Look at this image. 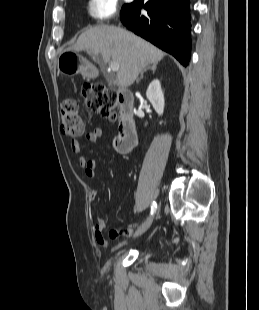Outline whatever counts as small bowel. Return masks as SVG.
I'll use <instances>...</instances> for the list:
<instances>
[{
	"label": "small bowel",
	"mask_w": 259,
	"mask_h": 310,
	"mask_svg": "<svg viewBox=\"0 0 259 310\" xmlns=\"http://www.w3.org/2000/svg\"><path fill=\"white\" fill-rule=\"evenodd\" d=\"M103 135L101 128H94L86 135V140L90 143H96ZM71 149L75 154H80L82 151V144L79 141L72 140L70 143ZM79 165L84 170L85 175L88 178H94L96 176V162L93 159H88L83 155L79 156ZM98 197V191L93 189L90 193L91 200H95ZM106 221L104 219H98L93 225V234L96 242L102 246L107 247L108 242L103 235V231L106 228ZM133 231L130 228H125L123 230H111L110 237L112 239H117L124 235H130ZM128 243L127 240L120 242L116 245L113 250L119 249Z\"/></svg>",
	"instance_id": "obj_1"
}]
</instances>
